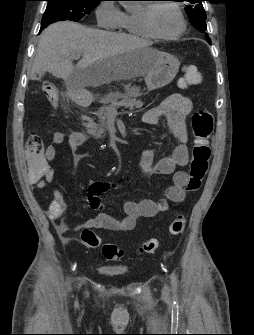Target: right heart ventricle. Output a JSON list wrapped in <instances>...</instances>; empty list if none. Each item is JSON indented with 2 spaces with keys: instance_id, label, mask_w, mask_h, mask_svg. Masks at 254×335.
<instances>
[{
  "instance_id": "e07e8e85",
  "label": "right heart ventricle",
  "mask_w": 254,
  "mask_h": 335,
  "mask_svg": "<svg viewBox=\"0 0 254 335\" xmlns=\"http://www.w3.org/2000/svg\"><path fill=\"white\" fill-rule=\"evenodd\" d=\"M119 28L133 36L142 38L153 37L144 27L140 18V12L123 13Z\"/></svg>"
}]
</instances>
